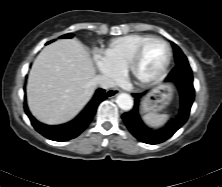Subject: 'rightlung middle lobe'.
<instances>
[{
	"instance_id": "dd1d6c3e",
	"label": "right lung middle lobe",
	"mask_w": 222,
	"mask_h": 187,
	"mask_svg": "<svg viewBox=\"0 0 222 187\" xmlns=\"http://www.w3.org/2000/svg\"><path fill=\"white\" fill-rule=\"evenodd\" d=\"M72 37H73V34H66V35L61 36L60 38H72Z\"/></svg>"
}]
</instances>
